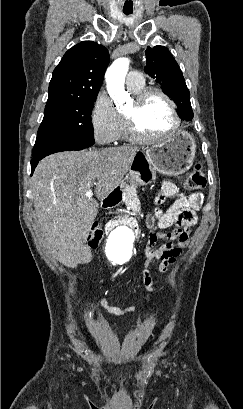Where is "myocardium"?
Segmentation results:
<instances>
[{
    "instance_id": "1",
    "label": "myocardium",
    "mask_w": 243,
    "mask_h": 409,
    "mask_svg": "<svg viewBox=\"0 0 243 409\" xmlns=\"http://www.w3.org/2000/svg\"><path fill=\"white\" fill-rule=\"evenodd\" d=\"M153 95H158L166 101V103L169 106L171 116H172L171 127L165 132L158 134V135H148V134H145L143 131H141V129L139 128L138 122H137V118H136V112L141 108V106L145 103V101ZM133 105H134V112L129 113V114L125 113L124 121H125V125H126L130 138L136 142L146 143V142H154V141L160 140L174 133L180 126V117L177 111L176 103L167 93H165L163 90L159 88L151 87V88L141 90L140 92L135 94Z\"/></svg>"
}]
</instances>
